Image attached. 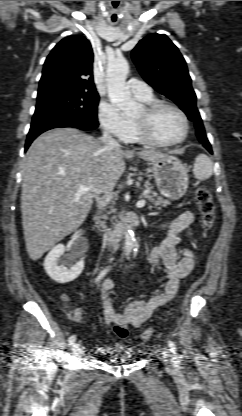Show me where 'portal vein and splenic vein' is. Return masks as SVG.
Returning <instances> with one entry per match:
<instances>
[{
  "label": "portal vein and splenic vein",
  "instance_id": "obj_1",
  "mask_svg": "<svg viewBox=\"0 0 242 416\" xmlns=\"http://www.w3.org/2000/svg\"><path fill=\"white\" fill-rule=\"evenodd\" d=\"M89 191H92V192H94V193H96V194H99V192H98V191H96L95 189H92V188L87 187V186H85V185H80V186L78 187V193H79V194H83V193H86V192H89ZM144 205H145V200H139V201L137 202V207H138V208H141V207H143Z\"/></svg>",
  "mask_w": 242,
  "mask_h": 416
}]
</instances>
